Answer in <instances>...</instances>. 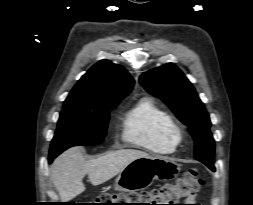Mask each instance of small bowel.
I'll return each mask as SVG.
<instances>
[{"instance_id": "small-bowel-1", "label": "small bowel", "mask_w": 253, "mask_h": 205, "mask_svg": "<svg viewBox=\"0 0 253 205\" xmlns=\"http://www.w3.org/2000/svg\"><path fill=\"white\" fill-rule=\"evenodd\" d=\"M195 200H196V196H195V195L192 196V197H190V198H188V202H189V203H194ZM190 205H196V204H190Z\"/></svg>"}]
</instances>
